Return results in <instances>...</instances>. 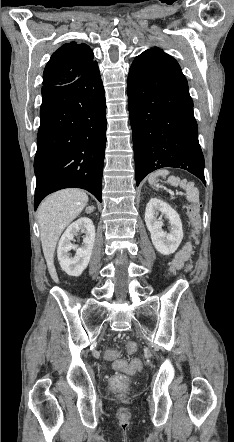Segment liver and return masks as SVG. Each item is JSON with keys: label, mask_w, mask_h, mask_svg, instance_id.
Wrapping results in <instances>:
<instances>
[{"label": "liver", "mask_w": 234, "mask_h": 442, "mask_svg": "<svg viewBox=\"0 0 234 442\" xmlns=\"http://www.w3.org/2000/svg\"><path fill=\"white\" fill-rule=\"evenodd\" d=\"M87 194L78 189H64L45 198L38 209V223L44 257L52 279L58 282L54 252L63 230L82 212Z\"/></svg>", "instance_id": "liver-1"}]
</instances>
